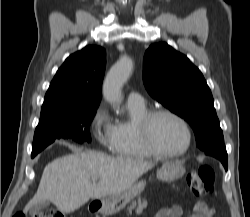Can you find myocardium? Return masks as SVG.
Returning <instances> with one entry per match:
<instances>
[{
	"mask_svg": "<svg viewBox=\"0 0 250 217\" xmlns=\"http://www.w3.org/2000/svg\"><path fill=\"white\" fill-rule=\"evenodd\" d=\"M169 116L177 120L184 128L187 135L185 147L176 152H164L155 143L152 134V124L158 116ZM138 132L144 146L156 157L175 158L184 155L191 147L192 132L188 122L176 112L167 108H155L149 110L138 122Z\"/></svg>",
	"mask_w": 250,
	"mask_h": 217,
	"instance_id": "obj_1",
	"label": "myocardium"
}]
</instances>
